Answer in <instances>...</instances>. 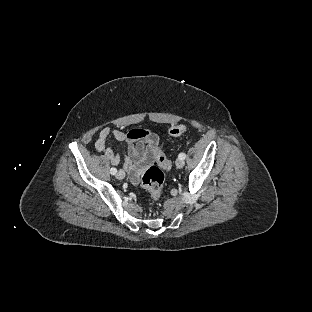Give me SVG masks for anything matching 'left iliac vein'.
Masks as SVG:
<instances>
[{
  "instance_id": "1",
  "label": "left iliac vein",
  "mask_w": 312,
  "mask_h": 312,
  "mask_svg": "<svg viewBox=\"0 0 312 312\" xmlns=\"http://www.w3.org/2000/svg\"><path fill=\"white\" fill-rule=\"evenodd\" d=\"M184 165H185V162H184L183 159L178 158V159L176 160V166H177L178 168H182Z\"/></svg>"
}]
</instances>
